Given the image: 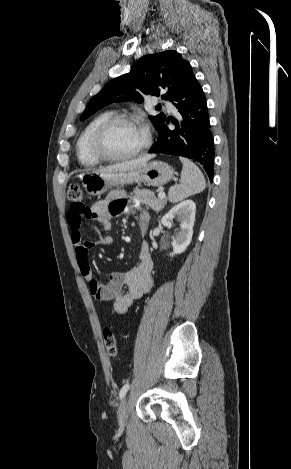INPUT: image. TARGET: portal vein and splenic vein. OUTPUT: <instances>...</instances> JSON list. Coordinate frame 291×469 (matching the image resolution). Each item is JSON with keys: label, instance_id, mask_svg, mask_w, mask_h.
<instances>
[{"label": "portal vein and splenic vein", "instance_id": "portal-vein-and-splenic-vein-1", "mask_svg": "<svg viewBox=\"0 0 291 469\" xmlns=\"http://www.w3.org/2000/svg\"><path fill=\"white\" fill-rule=\"evenodd\" d=\"M165 196H166V195H165L164 192H159V194H158V197H159L160 199H164Z\"/></svg>", "mask_w": 291, "mask_h": 469}]
</instances>
